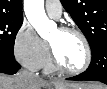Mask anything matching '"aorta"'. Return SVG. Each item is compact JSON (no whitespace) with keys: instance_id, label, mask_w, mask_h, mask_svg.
<instances>
[{"instance_id":"762f6f07","label":"aorta","mask_w":107,"mask_h":89,"mask_svg":"<svg viewBox=\"0 0 107 89\" xmlns=\"http://www.w3.org/2000/svg\"><path fill=\"white\" fill-rule=\"evenodd\" d=\"M25 15L42 38H48L57 26L49 20L44 10V0H24Z\"/></svg>"}]
</instances>
